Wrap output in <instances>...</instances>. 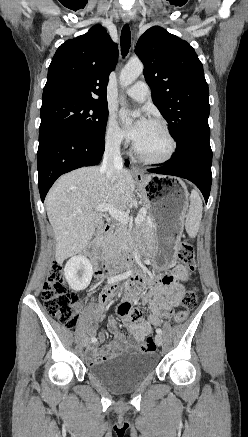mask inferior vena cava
<instances>
[{"instance_id":"obj_1","label":"inferior vena cava","mask_w":248,"mask_h":437,"mask_svg":"<svg viewBox=\"0 0 248 437\" xmlns=\"http://www.w3.org/2000/svg\"><path fill=\"white\" fill-rule=\"evenodd\" d=\"M120 144V139L106 143L103 162L100 167V172L105 174L111 182L115 181L117 172L123 169Z\"/></svg>"}]
</instances>
